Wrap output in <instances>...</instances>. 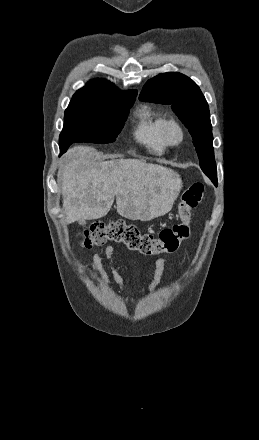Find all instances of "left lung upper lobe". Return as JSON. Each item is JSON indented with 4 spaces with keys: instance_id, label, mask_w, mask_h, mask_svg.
I'll return each mask as SVG.
<instances>
[{
    "instance_id": "obj_1",
    "label": "left lung upper lobe",
    "mask_w": 259,
    "mask_h": 440,
    "mask_svg": "<svg viewBox=\"0 0 259 440\" xmlns=\"http://www.w3.org/2000/svg\"><path fill=\"white\" fill-rule=\"evenodd\" d=\"M139 99L171 105L193 138L202 171L216 183L209 106L198 85L183 74L168 72L150 79Z\"/></svg>"
}]
</instances>
